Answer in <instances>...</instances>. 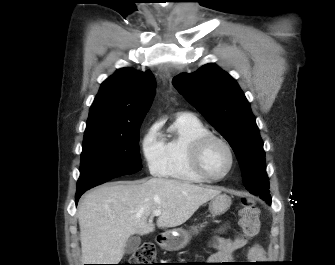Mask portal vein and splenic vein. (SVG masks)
<instances>
[{
	"instance_id": "portal-vein-and-splenic-vein-1",
	"label": "portal vein and splenic vein",
	"mask_w": 335,
	"mask_h": 265,
	"mask_svg": "<svg viewBox=\"0 0 335 265\" xmlns=\"http://www.w3.org/2000/svg\"><path fill=\"white\" fill-rule=\"evenodd\" d=\"M161 215V210H155L153 213H152V216H160Z\"/></svg>"
}]
</instances>
